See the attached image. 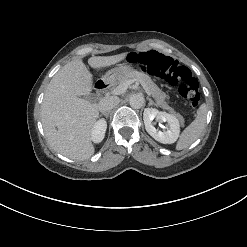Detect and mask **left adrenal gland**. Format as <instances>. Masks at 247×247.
<instances>
[{
  "label": "left adrenal gland",
  "mask_w": 247,
  "mask_h": 247,
  "mask_svg": "<svg viewBox=\"0 0 247 247\" xmlns=\"http://www.w3.org/2000/svg\"><path fill=\"white\" fill-rule=\"evenodd\" d=\"M147 100L149 101V106H150V105H155V106H157V104L154 103L153 100H152L151 98L147 97Z\"/></svg>",
  "instance_id": "1"
}]
</instances>
